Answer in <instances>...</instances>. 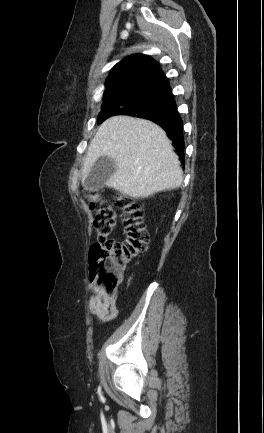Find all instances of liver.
<instances>
[{
  "mask_svg": "<svg viewBox=\"0 0 264 433\" xmlns=\"http://www.w3.org/2000/svg\"><path fill=\"white\" fill-rule=\"evenodd\" d=\"M101 156L112 158L117 166L106 185L132 198L176 189L183 181L178 156L165 131L145 119L114 116L104 121L88 146L83 180Z\"/></svg>",
  "mask_w": 264,
  "mask_h": 433,
  "instance_id": "1",
  "label": "liver"
}]
</instances>
